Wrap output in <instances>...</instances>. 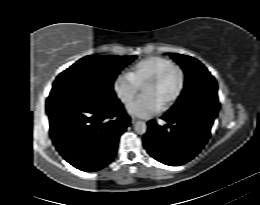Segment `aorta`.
I'll use <instances>...</instances> for the list:
<instances>
[{
  "label": "aorta",
  "instance_id": "obj_1",
  "mask_svg": "<svg viewBox=\"0 0 260 205\" xmlns=\"http://www.w3.org/2000/svg\"><path fill=\"white\" fill-rule=\"evenodd\" d=\"M134 129L138 134H143L146 131V124L143 121H138L134 125Z\"/></svg>",
  "mask_w": 260,
  "mask_h": 205
}]
</instances>
